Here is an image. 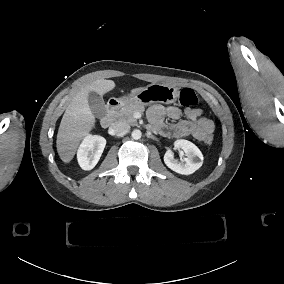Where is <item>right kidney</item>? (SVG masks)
<instances>
[{
  "instance_id": "ca27d5eb",
  "label": "right kidney",
  "mask_w": 284,
  "mask_h": 284,
  "mask_svg": "<svg viewBox=\"0 0 284 284\" xmlns=\"http://www.w3.org/2000/svg\"><path fill=\"white\" fill-rule=\"evenodd\" d=\"M105 144L106 140L100 136H93L86 139L78 151L80 166L85 170H92L98 163Z\"/></svg>"
}]
</instances>
